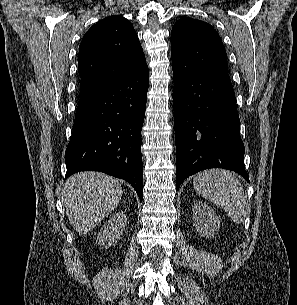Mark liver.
<instances>
[{
	"instance_id": "1",
	"label": "liver",
	"mask_w": 297,
	"mask_h": 305,
	"mask_svg": "<svg viewBox=\"0 0 297 305\" xmlns=\"http://www.w3.org/2000/svg\"><path fill=\"white\" fill-rule=\"evenodd\" d=\"M123 191L119 180L100 172H80L71 176L62 192L70 224L87 234L119 204Z\"/></svg>"
}]
</instances>
